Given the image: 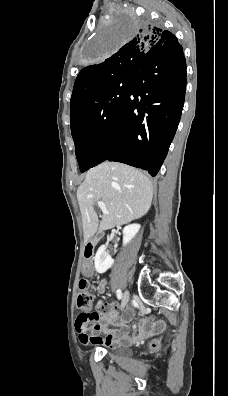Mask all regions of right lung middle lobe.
<instances>
[{"mask_svg": "<svg viewBox=\"0 0 228 396\" xmlns=\"http://www.w3.org/2000/svg\"><path fill=\"white\" fill-rule=\"evenodd\" d=\"M146 21L134 14H127L120 23L102 31L92 44L90 57L101 59L109 55L132 33L144 27ZM131 78L119 79L105 88L84 110L71 119V133L80 171L84 172L103 161L111 130L126 100Z\"/></svg>", "mask_w": 228, "mask_h": 396, "instance_id": "1", "label": "right lung middle lobe"}]
</instances>
